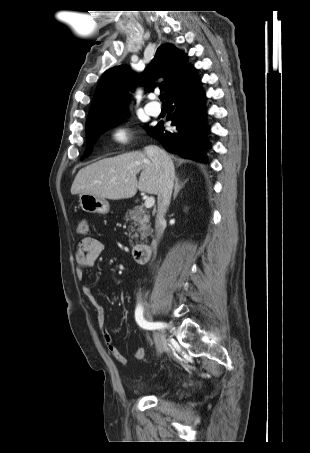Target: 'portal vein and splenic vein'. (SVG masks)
I'll return each instance as SVG.
<instances>
[{
  "label": "portal vein and splenic vein",
  "instance_id": "1",
  "mask_svg": "<svg viewBox=\"0 0 310 453\" xmlns=\"http://www.w3.org/2000/svg\"><path fill=\"white\" fill-rule=\"evenodd\" d=\"M154 203H155L154 197H148V198L145 200V207H146V208H152V207L154 206Z\"/></svg>",
  "mask_w": 310,
  "mask_h": 453
}]
</instances>
